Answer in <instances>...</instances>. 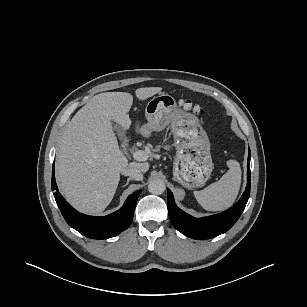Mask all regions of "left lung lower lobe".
I'll return each instance as SVG.
<instances>
[{
    "mask_svg": "<svg viewBox=\"0 0 307 307\" xmlns=\"http://www.w3.org/2000/svg\"><path fill=\"white\" fill-rule=\"evenodd\" d=\"M250 157L249 150L247 163V187L240 200L229 210L204 218H194L179 209L168 189L167 207L169 217L174 227L187 237L204 240L216 237L228 231L241 216L250 195Z\"/></svg>",
    "mask_w": 307,
    "mask_h": 307,
    "instance_id": "left-lung-lower-lobe-1",
    "label": "left lung lower lobe"
}]
</instances>
